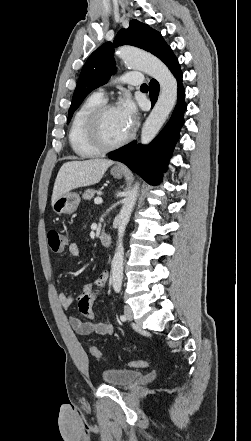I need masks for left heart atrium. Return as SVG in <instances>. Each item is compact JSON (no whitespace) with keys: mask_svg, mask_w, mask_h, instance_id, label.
<instances>
[{"mask_svg":"<svg viewBox=\"0 0 251 441\" xmlns=\"http://www.w3.org/2000/svg\"><path fill=\"white\" fill-rule=\"evenodd\" d=\"M118 111L124 124L130 130L134 126L136 121V108L134 104L132 103V101L126 99L118 107Z\"/></svg>","mask_w":251,"mask_h":441,"instance_id":"left-heart-atrium-1","label":"left heart atrium"}]
</instances>
